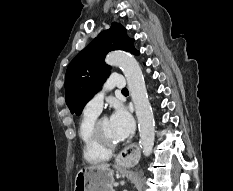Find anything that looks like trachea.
<instances>
[{"label":"trachea","instance_id":"obj_1","mask_svg":"<svg viewBox=\"0 0 233 191\" xmlns=\"http://www.w3.org/2000/svg\"><path fill=\"white\" fill-rule=\"evenodd\" d=\"M122 92H128L127 88L122 89Z\"/></svg>","mask_w":233,"mask_h":191}]
</instances>
